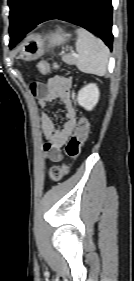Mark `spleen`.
<instances>
[{"label":"spleen","mask_w":134,"mask_h":281,"mask_svg":"<svg viewBox=\"0 0 134 281\" xmlns=\"http://www.w3.org/2000/svg\"><path fill=\"white\" fill-rule=\"evenodd\" d=\"M78 35L75 43L78 52L77 68L89 74L103 76L106 74L109 49L101 39L96 38L83 28L76 30Z\"/></svg>","instance_id":"1"}]
</instances>
